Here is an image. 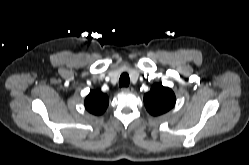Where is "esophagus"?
Instances as JSON below:
<instances>
[{"instance_id":"34e87169","label":"esophagus","mask_w":249,"mask_h":165,"mask_svg":"<svg viewBox=\"0 0 249 165\" xmlns=\"http://www.w3.org/2000/svg\"><path fill=\"white\" fill-rule=\"evenodd\" d=\"M133 87L129 86V87H123L122 88V92H133Z\"/></svg>"}]
</instances>
